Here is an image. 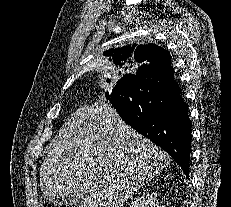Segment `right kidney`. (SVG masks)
<instances>
[{
  "instance_id": "ca27d5eb",
  "label": "right kidney",
  "mask_w": 231,
  "mask_h": 207,
  "mask_svg": "<svg viewBox=\"0 0 231 207\" xmlns=\"http://www.w3.org/2000/svg\"><path fill=\"white\" fill-rule=\"evenodd\" d=\"M129 207H160L155 193H143L131 202Z\"/></svg>"
}]
</instances>
